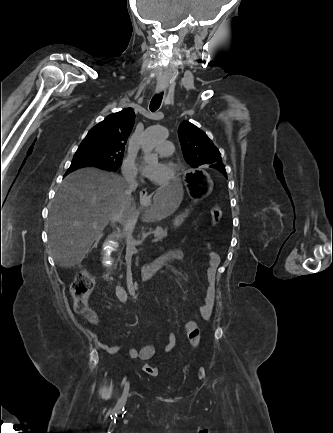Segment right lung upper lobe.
Wrapping results in <instances>:
<instances>
[{"mask_svg":"<svg viewBox=\"0 0 333 433\" xmlns=\"http://www.w3.org/2000/svg\"><path fill=\"white\" fill-rule=\"evenodd\" d=\"M134 121L135 113L132 108L110 114L94 126L83 141L93 142L103 148L124 149Z\"/></svg>","mask_w":333,"mask_h":433,"instance_id":"1","label":"right lung upper lobe"}]
</instances>
